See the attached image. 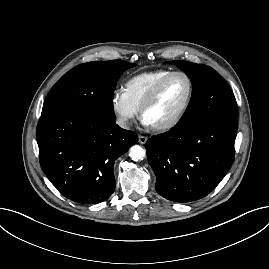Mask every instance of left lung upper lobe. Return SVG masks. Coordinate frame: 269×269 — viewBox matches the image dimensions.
Wrapping results in <instances>:
<instances>
[{
    "label": "left lung upper lobe",
    "instance_id": "obj_1",
    "mask_svg": "<svg viewBox=\"0 0 269 269\" xmlns=\"http://www.w3.org/2000/svg\"><path fill=\"white\" fill-rule=\"evenodd\" d=\"M170 63L187 74L193 88L190 104L176 128L184 129L216 116H238L232 90L213 68L180 60Z\"/></svg>",
    "mask_w": 269,
    "mask_h": 269
}]
</instances>
